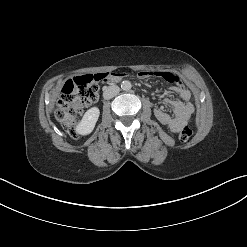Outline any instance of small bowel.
I'll return each mask as SVG.
<instances>
[{
	"label": "small bowel",
	"instance_id": "small-bowel-1",
	"mask_svg": "<svg viewBox=\"0 0 247 247\" xmlns=\"http://www.w3.org/2000/svg\"><path fill=\"white\" fill-rule=\"evenodd\" d=\"M125 75L123 73H112L106 81L115 82L122 79ZM141 78L159 77L172 84V89L176 92L181 100L166 99L165 102L169 104L174 110V116H170L162 109H155L154 114L156 118L164 125H167L174 133L181 131L182 127L186 125L191 118L194 111V105L191 101V93L186 88L183 80L176 74L168 71L150 72L142 71L139 73Z\"/></svg>",
	"mask_w": 247,
	"mask_h": 247
}]
</instances>
